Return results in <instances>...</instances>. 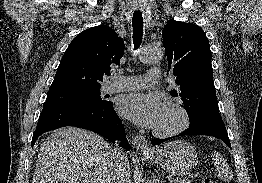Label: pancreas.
<instances>
[{
	"label": "pancreas",
	"mask_w": 262,
	"mask_h": 183,
	"mask_svg": "<svg viewBox=\"0 0 262 183\" xmlns=\"http://www.w3.org/2000/svg\"><path fill=\"white\" fill-rule=\"evenodd\" d=\"M176 183H192V181L183 179V180L176 181Z\"/></svg>",
	"instance_id": "obj_1"
}]
</instances>
